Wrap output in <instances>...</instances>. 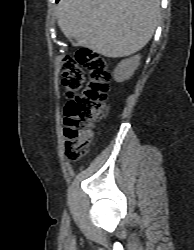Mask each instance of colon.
Returning <instances> with one entry per match:
<instances>
[{
    "label": "colon",
    "mask_w": 194,
    "mask_h": 250,
    "mask_svg": "<svg viewBox=\"0 0 194 250\" xmlns=\"http://www.w3.org/2000/svg\"><path fill=\"white\" fill-rule=\"evenodd\" d=\"M60 72L67 98L64 112L65 154L69 160L77 161L87 153L93 126L102 118L110 72L106 59L87 48L65 56Z\"/></svg>",
    "instance_id": "obj_1"
}]
</instances>
